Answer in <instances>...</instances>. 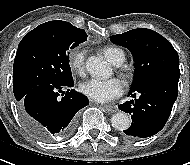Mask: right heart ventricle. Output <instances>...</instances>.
<instances>
[{
    "mask_svg": "<svg viewBox=\"0 0 190 165\" xmlns=\"http://www.w3.org/2000/svg\"><path fill=\"white\" fill-rule=\"evenodd\" d=\"M102 51L109 61L115 65H120L125 60L124 51L116 46H105Z\"/></svg>",
    "mask_w": 190,
    "mask_h": 165,
    "instance_id": "obj_1",
    "label": "right heart ventricle"
}]
</instances>
